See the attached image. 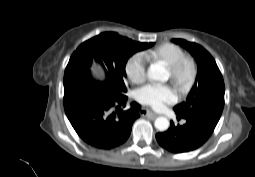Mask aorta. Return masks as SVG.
Returning a JSON list of instances; mask_svg holds the SVG:
<instances>
[{"label": "aorta", "mask_w": 255, "mask_h": 177, "mask_svg": "<svg viewBox=\"0 0 255 177\" xmlns=\"http://www.w3.org/2000/svg\"><path fill=\"white\" fill-rule=\"evenodd\" d=\"M147 76L151 80L155 81H167L169 74L166 69L160 65L154 64L151 65L148 69ZM155 128L159 131H166L169 128V120L166 117H158L155 120Z\"/></svg>", "instance_id": "obj_1"}]
</instances>
